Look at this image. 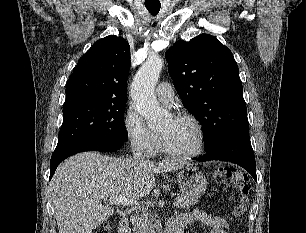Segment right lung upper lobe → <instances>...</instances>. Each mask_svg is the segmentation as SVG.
Masks as SVG:
<instances>
[{"label":"right lung upper lobe","instance_id":"obj_1","mask_svg":"<svg viewBox=\"0 0 306 233\" xmlns=\"http://www.w3.org/2000/svg\"><path fill=\"white\" fill-rule=\"evenodd\" d=\"M130 46L122 37L98 40L78 61L66 84V102L78 99L127 101Z\"/></svg>","mask_w":306,"mask_h":233}]
</instances>
